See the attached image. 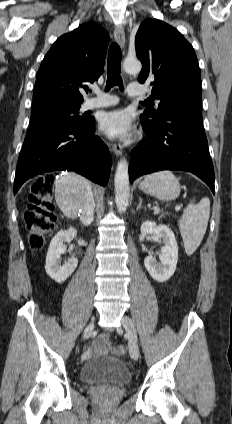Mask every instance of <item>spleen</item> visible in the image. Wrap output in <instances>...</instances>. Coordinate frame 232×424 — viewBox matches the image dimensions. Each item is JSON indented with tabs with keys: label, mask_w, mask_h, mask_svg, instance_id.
Masks as SVG:
<instances>
[{
	"label": "spleen",
	"mask_w": 232,
	"mask_h": 424,
	"mask_svg": "<svg viewBox=\"0 0 232 424\" xmlns=\"http://www.w3.org/2000/svg\"><path fill=\"white\" fill-rule=\"evenodd\" d=\"M209 216L210 200L207 197L201 199L198 204L191 201L184 209L178 225L188 256L192 255L202 242Z\"/></svg>",
	"instance_id": "obj_1"
}]
</instances>
